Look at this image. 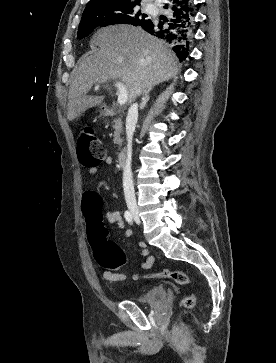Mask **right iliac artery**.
<instances>
[{"mask_svg": "<svg viewBox=\"0 0 276 363\" xmlns=\"http://www.w3.org/2000/svg\"><path fill=\"white\" fill-rule=\"evenodd\" d=\"M124 217L126 219V221L129 223V224H132L133 222V217L131 215V213L129 211H125L124 213Z\"/></svg>", "mask_w": 276, "mask_h": 363, "instance_id": "1", "label": "right iliac artery"}]
</instances>
